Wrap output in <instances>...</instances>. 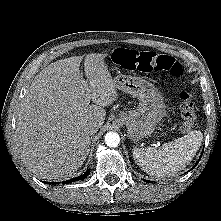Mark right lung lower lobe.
I'll return each mask as SVG.
<instances>
[{"label": "right lung lower lobe", "mask_w": 221, "mask_h": 221, "mask_svg": "<svg viewBox=\"0 0 221 221\" xmlns=\"http://www.w3.org/2000/svg\"><path fill=\"white\" fill-rule=\"evenodd\" d=\"M88 175H89V170L83 175L77 176V177L72 178L70 180L63 181L62 184H68V183H72V182H75V181L82 180V179L86 178ZM58 183L59 182H52V183H49V184H58Z\"/></svg>", "instance_id": "right-lung-lower-lobe-1"}]
</instances>
